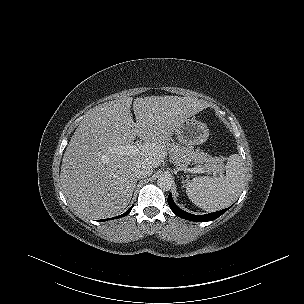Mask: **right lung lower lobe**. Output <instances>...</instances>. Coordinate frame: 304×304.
<instances>
[{
    "instance_id": "obj_1",
    "label": "right lung lower lobe",
    "mask_w": 304,
    "mask_h": 304,
    "mask_svg": "<svg viewBox=\"0 0 304 304\" xmlns=\"http://www.w3.org/2000/svg\"><path fill=\"white\" fill-rule=\"evenodd\" d=\"M133 207V206H132ZM132 207L126 211L124 214L120 215V216H117V217H114V218H111V219H116V218H119V217H123V216H126L129 214V212L131 211ZM106 220H110V219H103V220H99V221H106Z\"/></svg>"
}]
</instances>
